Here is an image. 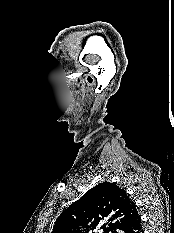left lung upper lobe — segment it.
<instances>
[{
	"label": "left lung upper lobe",
	"instance_id": "obj_1",
	"mask_svg": "<svg viewBox=\"0 0 174 233\" xmlns=\"http://www.w3.org/2000/svg\"><path fill=\"white\" fill-rule=\"evenodd\" d=\"M137 206L114 183L103 182L72 203L56 220L52 233H117L137 214Z\"/></svg>",
	"mask_w": 174,
	"mask_h": 233
}]
</instances>
